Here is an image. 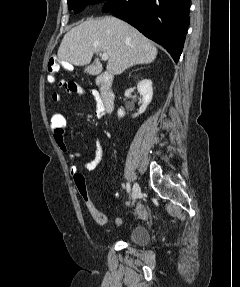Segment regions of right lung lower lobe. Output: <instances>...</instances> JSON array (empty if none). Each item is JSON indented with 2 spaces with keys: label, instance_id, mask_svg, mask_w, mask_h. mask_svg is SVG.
I'll return each mask as SVG.
<instances>
[{
  "label": "right lung lower lobe",
  "instance_id": "1",
  "mask_svg": "<svg viewBox=\"0 0 240 287\" xmlns=\"http://www.w3.org/2000/svg\"><path fill=\"white\" fill-rule=\"evenodd\" d=\"M190 0H108L102 11L128 22L178 62L189 25Z\"/></svg>",
  "mask_w": 240,
  "mask_h": 287
}]
</instances>
